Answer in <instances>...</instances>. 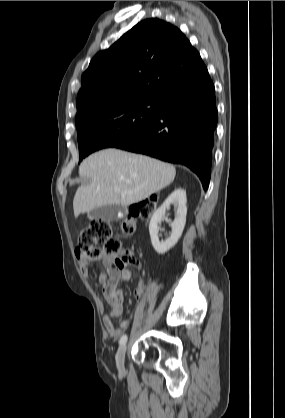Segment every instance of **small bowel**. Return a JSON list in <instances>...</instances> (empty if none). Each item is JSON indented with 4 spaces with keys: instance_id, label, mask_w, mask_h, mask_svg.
<instances>
[{
    "instance_id": "c3829d8e",
    "label": "small bowel",
    "mask_w": 285,
    "mask_h": 418,
    "mask_svg": "<svg viewBox=\"0 0 285 418\" xmlns=\"http://www.w3.org/2000/svg\"><path fill=\"white\" fill-rule=\"evenodd\" d=\"M108 271L110 276L109 283L103 287V295L110 306V311L103 316V323L109 336L118 337L122 334L126 326V321H122L119 325L113 323V318L123 316V291L117 288V282L121 279L123 282H129L132 279V272L128 267H117L113 263L111 256L104 255L99 259ZM93 262L81 261L79 263L80 272L85 278L90 277V266ZM98 285V282H94ZM143 293V282L139 281L135 288V296L140 297Z\"/></svg>"
}]
</instances>
